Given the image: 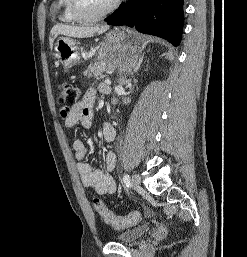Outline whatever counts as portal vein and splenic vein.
Listing matches in <instances>:
<instances>
[{
	"instance_id": "portal-vein-and-splenic-vein-1",
	"label": "portal vein and splenic vein",
	"mask_w": 247,
	"mask_h": 257,
	"mask_svg": "<svg viewBox=\"0 0 247 257\" xmlns=\"http://www.w3.org/2000/svg\"><path fill=\"white\" fill-rule=\"evenodd\" d=\"M107 74H112V71H111V70H108V71H107Z\"/></svg>"
}]
</instances>
